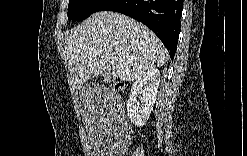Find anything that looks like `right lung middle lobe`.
<instances>
[{"instance_id":"right-lung-middle-lobe-1","label":"right lung middle lobe","mask_w":247,"mask_h":156,"mask_svg":"<svg viewBox=\"0 0 247 156\" xmlns=\"http://www.w3.org/2000/svg\"><path fill=\"white\" fill-rule=\"evenodd\" d=\"M108 0H69L68 19L82 21L99 9Z\"/></svg>"}]
</instances>
